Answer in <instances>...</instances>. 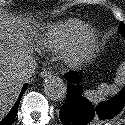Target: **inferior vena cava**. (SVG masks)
<instances>
[{
	"instance_id": "obj_1",
	"label": "inferior vena cava",
	"mask_w": 125,
	"mask_h": 125,
	"mask_svg": "<svg viewBox=\"0 0 125 125\" xmlns=\"http://www.w3.org/2000/svg\"><path fill=\"white\" fill-rule=\"evenodd\" d=\"M36 61L35 60H29V62L23 61V68L19 72V79L21 81H26L34 72L36 68Z\"/></svg>"
}]
</instances>
